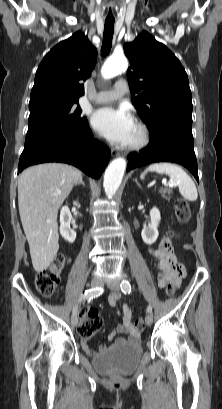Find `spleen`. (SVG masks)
<instances>
[{
	"mask_svg": "<svg viewBox=\"0 0 222 409\" xmlns=\"http://www.w3.org/2000/svg\"><path fill=\"white\" fill-rule=\"evenodd\" d=\"M152 171L168 175L170 180L178 186L179 192L184 199L189 201L197 200V188L190 176L181 167L168 162L154 163L141 174V179L144 178L147 172Z\"/></svg>",
	"mask_w": 222,
	"mask_h": 409,
	"instance_id": "1",
	"label": "spleen"
}]
</instances>
